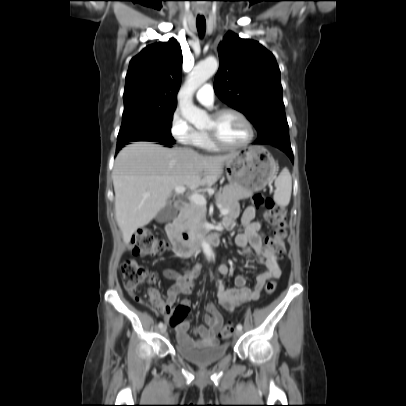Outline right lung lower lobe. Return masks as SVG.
<instances>
[{
    "label": "right lung lower lobe",
    "instance_id": "98d812e1",
    "mask_svg": "<svg viewBox=\"0 0 406 406\" xmlns=\"http://www.w3.org/2000/svg\"><path fill=\"white\" fill-rule=\"evenodd\" d=\"M160 144L165 145L166 147H172V145H173L174 143H171V142H162V143H160ZM123 147H124V146H123ZM121 148H122V147H117V148H116V154L119 152V150H121Z\"/></svg>",
    "mask_w": 406,
    "mask_h": 406
}]
</instances>
